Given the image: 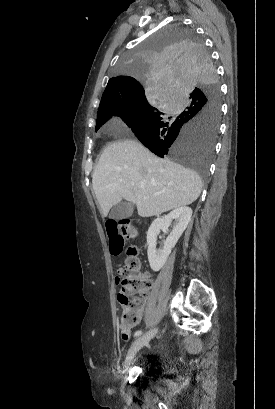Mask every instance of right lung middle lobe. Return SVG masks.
<instances>
[{
  "instance_id": "obj_1",
  "label": "right lung middle lobe",
  "mask_w": 275,
  "mask_h": 409,
  "mask_svg": "<svg viewBox=\"0 0 275 409\" xmlns=\"http://www.w3.org/2000/svg\"><path fill=\"white\" fill-rule=\"evenodd\" d=\"M137 50H126L113 73L141 79L149 96H134L97 113V131L120 116L154 154L209 177L220 119L219 84L211 53L190 24H165ZM199 188L204 184L199 183Z\"/></svg>"
}]
</instances>
